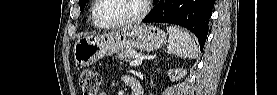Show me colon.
<instances>
[{"mask_svg": "<svg viewBox=\"0 0 277 95\" xmlns=\"http://www.w3.org/2000/svg\"><path fill=\"white\" fill-rule=\"evenodd\" d=\"M83 95H97L100 87V76L92 70H83L79 77Z\"/></svg>", "mask_w": 277, "mask_h": 95, "instance_id": "colon-1", "label": "colon"}]
</instances>
